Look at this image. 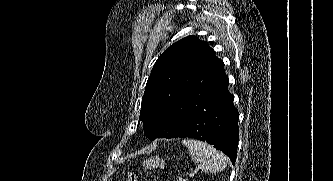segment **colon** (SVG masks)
Segmentation results:
<instances>
[{
    "instance_id": "1",
    "label": "colon",
    "mask_w": 333,
    "mask_h": 181,
    "mask_svg": "<svg viewBox=\"0 0 333 181\" xmlns=\"http://www.w3.org/2000/svg\"><path fill=\"white\" fill-rule=\"evenodd\" d=\"M166 160L162 156H149L145 158L139 170L129 171L124 181H139L140 171L164 169Z\"/></svg>"
}]
</instances>
